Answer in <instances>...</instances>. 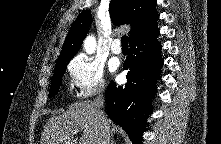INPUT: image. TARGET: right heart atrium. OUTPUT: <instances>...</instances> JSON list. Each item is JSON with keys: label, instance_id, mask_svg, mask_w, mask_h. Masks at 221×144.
<instances>
[{"label": "right heart atrium", "instance_id": "d8ad5b80", "mask_svg": "<svg viewBox=\"0 0 221 144\" xmlns=\"http://www.w3.org/2000/svg\"><path fill=\"white\" fill-rule=\"evenodd\" d=\"M68 70L79 98H88L104 90V67L94 58L79 54L71 60Z\"/></svg>", "mask_w": 221, "mask_h": 144}]
</instances>
